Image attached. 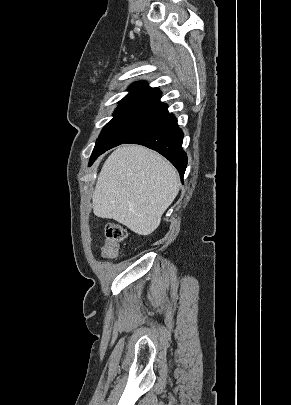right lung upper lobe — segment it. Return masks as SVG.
<instances>
[{
  "label": "right lung upper lobe",
  "instance_id": "obj_1",
  "mask_svg": "<svg viewBox=\"0 0 291 405\" xmlns=\"http://www.w3.org/2000/svg\"><path fill=\"white\" fill-rule=\"evenodd\" d=\"M129 94L126 95L121 102L127 101H147L157 104L160 102L161 92L158 88H151L145 82H137L129 87Z\"/></svg>",
  "mask_w": 291,
  "mask_h": 405
}]
</instances>
